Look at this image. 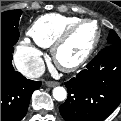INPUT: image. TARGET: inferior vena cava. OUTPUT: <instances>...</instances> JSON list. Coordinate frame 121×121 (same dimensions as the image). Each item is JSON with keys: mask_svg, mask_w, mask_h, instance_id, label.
Segmentation results:
<instances>
[{"mask_svg": "<svg viewBox=\"0 0 121 121\" xmlns=\"http://www.w3.org/2000/svg\"><path fill=\"white\" fill-rule=\"evenodd\" d=\"M17 69L28 78H39L45 71V64L42 58H37L29 64L18 65Z\"/></svg>", "mask_w": 121, "mask_h": 121, "instance_id": "602c4592", "label": "inferior vena cava"}]
</instances>
